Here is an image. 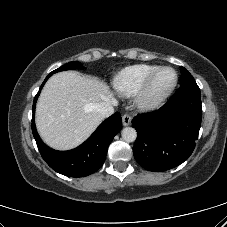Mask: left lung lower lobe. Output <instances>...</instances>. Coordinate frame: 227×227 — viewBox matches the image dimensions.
<instances>
[{
	"label": "left lung lower lobe",
	"mask_w": 227,
	"mask_h": 227,
	"mask_svg": "<svg viewBox=\"0 0 227 227\" xmlns=\"http://www.w3.org/2000/svg\"><path fill=\"white\" fill-rule=\"evenodd\" d=\"M200 89L194 81L180 84L158 110L137 115L133 154L145 169L161 172L177 167L192 154L201 126Z\"/></svg>",
	"instance_id": "1"
}]
</instances>
